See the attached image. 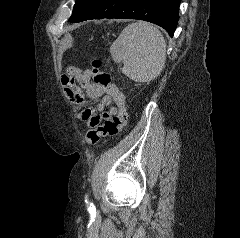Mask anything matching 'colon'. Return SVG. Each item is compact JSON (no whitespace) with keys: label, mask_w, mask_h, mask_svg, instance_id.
Wrapping results in <instances>:
<instances>
[{"label":"colon","mask_w":240,"mask_h":238,"mask_svg":"<svg viewBox=\"0 0 240 238\" xmlns=\"http://www.w3.org/2000/svg\"><path fill=\"white\" fill-rule=\"evenodd\" d=\"M101 62L99 59L93 61V68L90 71L95 83L103 87L105 92L110 95L119 107V112L103 123L91 127L86 133V143L95 145L103 137L117 135L127 122V112L125 107V96L120 89L113 83L109 73L100 70Z\"/></svg>","instance_id":"5ec220e1"}]
</instances>
